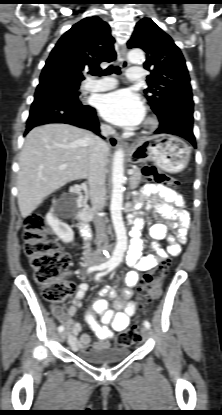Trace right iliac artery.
Here are the masks:
<instances>
[{
    "label": "right iliac artery",
    "mask_w": 222,
    "mask_h": 415,
    "mask_svg": "<svg viewBox=\"0 0 222 415\" xmlns=\"http://www.w3.org/2000/svg\"><path fill=\"white\" fill-rule=\"evenodd\" d=\"M107 267H108L107 265H100V266L89 267L88 268V272H92L94 270H103V269H105ZM63 330H64V327L62 325L58 327V331L59 332H62Z\"/></svg>",
    "instance_id": "82829eb1"
}]
</instances>
